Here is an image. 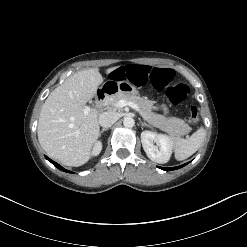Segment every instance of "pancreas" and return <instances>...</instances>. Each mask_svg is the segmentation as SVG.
<instances>
[{
  "label": "pancreas",
  "mask_w": 247,
  "mask_h": 247,
  "mask_svg": "<svg viewBox=\"0 0 247 247\" xmlns=\"http://www.w3.org/2000/svg\"><path fill=\"white\" fill-rule=\"evenodd\" d=\"M119 100H126L135 103L139 109L142 117L153 126L160 130L175 136H181L190 131L189 125L182 119L177 117H165L154 113V101L144 99L137 95H129L125 93H118L107 99V102L115 106Z\"/></svg>",
  "instance_id": "cf45deb5"
}]
</instances>
